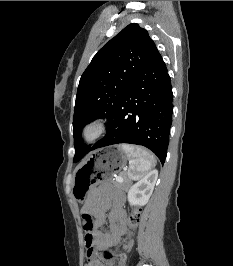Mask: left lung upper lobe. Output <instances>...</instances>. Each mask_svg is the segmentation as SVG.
<instances>
[{
    "mask_svg": "<svg viewBox=\"0 0 233 266\" xmlns=\"http://www.w3.org/2000/svg\"><path fill=\"white\" fill-rule=\"evenodd\" d=\"M156 50L148 32L132 23L112 38L93 57L81 76L75 102L74 162L89 147L83 144V127L97 118L109 120L123 95L131 88L144 65Z\"/></svg>",
    "mask_w": 233,
    "mask_h": 266,
    "instance_id": "left-lung-upper-lobe-1",
    "label": "left lung upper lobe"
}]
</instances>
